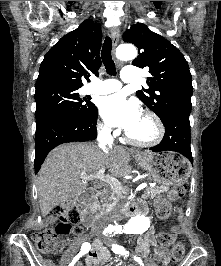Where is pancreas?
I'll use <instances>...</instances> for the list:
<instances>
[{"label": "pancreas", "instance_id": "obj_1", "mask_svg": "<svg viewBox=\"0 0 221 266\" xmlns=\"http://www.w3.org/2000/svg\"><path fill=\"white\" fill-rule=\"evenodd\" d=\"M168 190L169 186L150 187L143 195V198L147 199L149 197L150 199H153L161 193L168 192ZM124 194L125 191L122 188L113 187L106 189L102 193L100 199L96 201L95 207L98 209L109 210L113 205H115V203L125 197Z\"/></svg>", "mask_w": 221, "mask_h": 266}]
</instances>
